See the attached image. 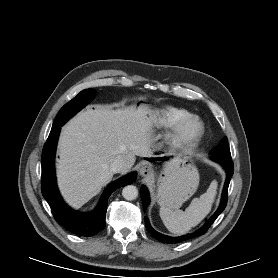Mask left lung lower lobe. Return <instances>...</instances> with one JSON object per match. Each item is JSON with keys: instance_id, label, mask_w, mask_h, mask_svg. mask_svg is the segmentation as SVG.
Returning a JSON list of instances; mask_svg holds the SVG:
<instances>
[{"instance_id": "left-lung-lower-lobe-1", "label": "left lung lower lobe", "mask_w": 278, "mask_h": 278, "mask_svg": "<svg viewBox=\"0 0 278 278\" xmlns=\"http://www.w3.org/2000/svg\"><path fill=\"white\" fill-rule=\"evenodd\" d=\"M162 159L164 160L165 158H162ZM222 165H223L224 169L226 170L227 177H226L225 185H224L223 192H222L220 206H219L218 210L212 215V217L199 230H197L191 234H186V235L180 236V237H170V236H166V235H163V234L155 231L151 227L148 218L145 217V225H146L148 232L154 238H156L157 240L164 242V243H180V242L188 240L190 238L203 235L208 230V228L212 225V223L216 220V218L220 215V213L225 209L226 204H227V191H228V186L230 183V179L233 175L234 169H233V165H230V164H222ZM140 195H141L142 202H143V208L145 210L147 205L149 204V193H148V190L146 189V187L143 186L141 188Z\"/></svg>"}]
</instances>
